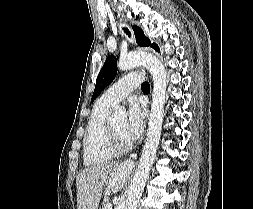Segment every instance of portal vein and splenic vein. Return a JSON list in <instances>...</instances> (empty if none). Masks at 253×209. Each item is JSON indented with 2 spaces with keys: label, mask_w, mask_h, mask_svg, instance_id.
<instances>
[{
  "label": "portal vein and splenic vein",
  "mask_w": 253,
  "mask_h": 209,
  "mask_svg": "<svg viewBox=\"0 0 253 209\" xmlns=\"http://www.w3.org/2000/svg\"><path fill=\"white\" fill-rule=\"evenodd\" d=\"M108 209H112V204L111 203H109Z\"/></svg>",
  "instance_id": "1"
}]
</instances>
